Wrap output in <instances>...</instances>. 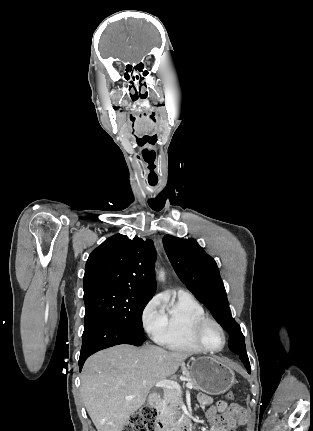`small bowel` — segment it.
I'll return each mask as SVG.
<instances>
[{"label": "small bowel", "instance_id": "c3829d8e", "mask_svg": "<svg viewBox=\"0 0 313 431\" xmlns=\"http://www.w3.org/2000/svg\"><path fill=\"white\" fill-rule=\"evenodd\" d=\"M198 401L211 425L208 431H233L246 423V412L238 404L228 405L224 401L213 404L212 398L202 393Z\"/></svg>", "mask_w": 313, "mask_h": 431}]
</instances>
